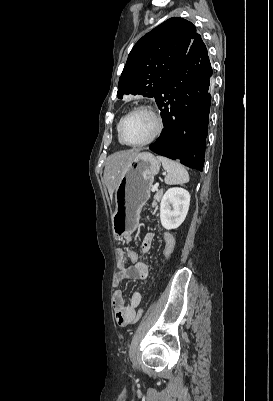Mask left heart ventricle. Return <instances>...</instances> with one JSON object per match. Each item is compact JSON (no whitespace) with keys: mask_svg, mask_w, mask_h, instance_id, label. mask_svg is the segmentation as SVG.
<instances>
[{"mask_svg":"<svg viewBox=\"0 0 273 401\" xmlns=\"http://www.w3.org/2000/svg\"><path fill=\"white\" fill-rule=\"evenodd\" d=\"M156 129V122L146 113H136L128 117L122 127L125 141L137 143L149 138Z\"/></svg>","mask_w":273,"mask_h":401,"instance_id":"obj_1","label":"left heart ventricle"}]
</instances>
